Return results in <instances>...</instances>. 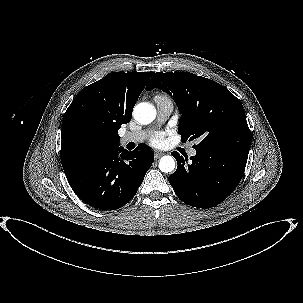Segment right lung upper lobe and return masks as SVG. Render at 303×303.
Here are the masks:
<instances>
[{
    "mask_svg": "<svg viewBox=\"0 0 303 303\" xmlns=\"http://www.w3.org/2000/svg\"><path fill=\"white\" fill-rule=\"evenodd\" d=\"M154 72H112L83 88L62 120L64 171L118 147V130L131 120L140 93Z\"/></svg>",
    "mask_w": 303,
    "mask_h": 303,
    "instance_id": "obj_1",
    "label": "right lung upper lobe"
}]
</instances>
